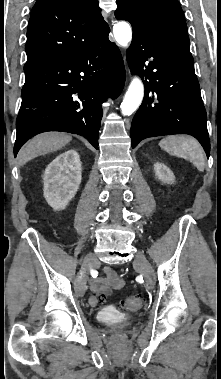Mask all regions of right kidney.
<instances>
[{
    "instance_id": "right-kidney-1",
    "label": "right kidney",
    "mask_w": 221,
    "mask_h": 379,
    "mask_svg": "<svg viewBox=\"0 0 221 379\" xmlns=\"http://www.w3.org/2000/svg\"><path fill=\"white\" fill-rule=\"evenodd\" d=\"M82 168L76 150L59 154L46 168L44 197L55 210L65 209L76 195L82 179Z\"/></svg>"
}]
</instances>
